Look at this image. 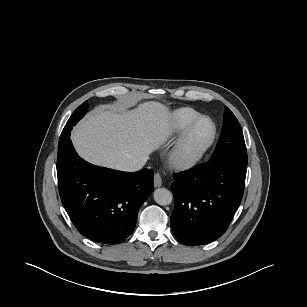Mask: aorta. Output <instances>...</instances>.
<instances>
[{
	"label": "aorta",
	"instance_id": "762f6f07",
	"mask_svg": "<svg viewBox=\"0 0 307 307\" xmlns=\"http://www.w3.org/2000/svg\"><path fill=\"white\" fill-rule=\"evenodd\" d=\"M172 199V193L166 188H158L154 191V200L159 205H169L172 202Z\"/></svg>",
	"mask_w": 307,
	"mask_h": 307
}]
</instances>
